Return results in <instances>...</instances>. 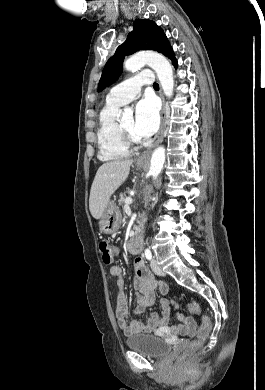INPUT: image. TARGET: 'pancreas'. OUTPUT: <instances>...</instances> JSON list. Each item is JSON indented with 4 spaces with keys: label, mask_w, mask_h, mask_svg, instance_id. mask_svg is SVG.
<instances>
[{
    "label": "pancreas",
    "mask_w": 265,
    "mask_h": 390,
    "mask_svg": "<svg viewBox=\"0 0 265 390\" xmlns=\"http://www.w3.org/2000/svg\"><path fill=\"white\" fill-rule=\"evenodd\" d=\"M125 199H126L125 198V193L121 194L120 197H119V204L123 206V204L125 202Z\"/></svg>",
    "instance_id": "pancreas-1"
}]
</instances>
